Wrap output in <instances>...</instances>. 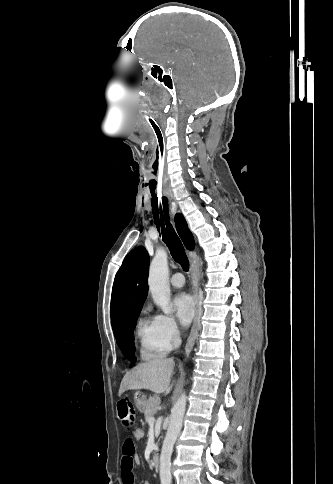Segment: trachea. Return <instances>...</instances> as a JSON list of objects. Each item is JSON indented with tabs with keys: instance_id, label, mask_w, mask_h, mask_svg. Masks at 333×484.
Segmentation results:
<instances>
[{
	"instance_id": "3493384b",
	"label": "trachea",
	"mask_w": 333,
	"mask_h": 484,
	"mask_svg": "<svg viewBox=\"0 0 333 484\" xmlns=\"http://www.w3.org/2000/svg\"><path fill=\"white\" fill-rule=\"evenodd\" d=\"M153 130L154 138V163L152 165V184H153V196L151 199L152 212L154 223L162 234V239L168 246L173 259L181 265L184 271L189 269V261L186 256L184 247L177 236L172 224L170 223V217L168 213V200L163 186V177L165 171V158L168 155L167 152V133L158 128L153 120L149 119Z\"/></svg>"
}]
</instances>
